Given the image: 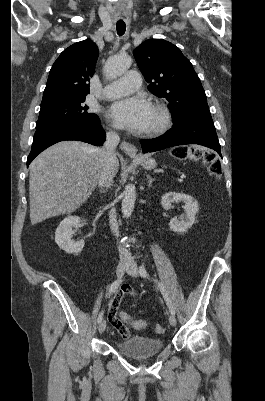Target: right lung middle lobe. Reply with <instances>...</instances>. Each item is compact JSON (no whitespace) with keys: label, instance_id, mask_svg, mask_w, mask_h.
I'll list each match as a JSON object with an SVG mask.
<instances>
[{"label":"right lung middle lobe","instance_id":"1","mask_svg":"<svg viewBox=\"0 0 265 401\" xmlns=\"http://www.w3.org/2000/svg\"><path fill=\"white\" fill-rule=\"evenodd\" d=\"M85 97L68 98L41 104L36 127L47 123L83 122L100 124L96 114L89 113V107L83 105Z\"/></svg>","mask_w":265,"mask_h":401}]
</instances>
